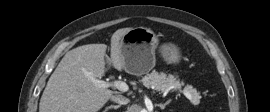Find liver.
Masks as SVG:
<instances>
[{
    "label": "liver",
    "instance_id": "liver-1",
    "mask_svg": "<svg viewBox=\"0 0 270 112\" xmlns=\"http://www.w3.org/2000/svg\"><path fill=\"white\" fill-rule=\"evenodd\" d=\"M132 28L115 31L111 37L112 66L121 71L124 62L120 41ZM106 44H87L68 51L50 76L39 103V112H97L114 93L97 87L93 79L104 76Z\"/></svg>",
    "mask_w": 270,
    "mask_h": 112
}]
</instances>
